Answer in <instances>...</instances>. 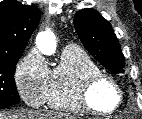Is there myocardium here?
<instances>
[{
  "mask_svg": "<svg viewBox=\"0 0 142 119\" xmlns=\"http://www.w3.org/2000/svg\"><path fill=\"white\" fill-rule=\"evenodd\" d=\"M102 83L109 84L117 94V101L115 105L108 110L99 109L92 102L91 96L94 88ZM75 99L80 107L87 113L95 115H110L121 106L123 95L119 84L114 80V78L100 71L85 76L78 83L75 89Z\"/></svg>",
  "mask_w": 142,
  "mask_h": 119,
  "instance_id": "f54148a6",
  "label": "myocardium"
}]
</instances>
